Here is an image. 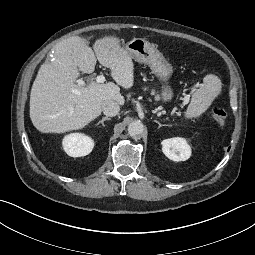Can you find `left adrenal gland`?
Listing matches in <instances>:
<instances>
[{
	"label": "left adrenal gland",
	"instance_id": "1",
	"mask_svg": "<svg viewBox=\"0 0 255 255\" xmlns=\"http://www.w3.org/2000/svg\"><path fill=\"white\" fill-rule=\"evenodd\" d=\"M154 122H156L157 124H158V128H161V127H163V126H171V125H169V124H161L159 121H157V120H154Z\"/></svg>",
	"mask_w": 255,
	"mask_h": 255
}]
</instances>
